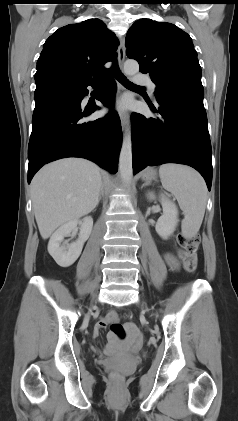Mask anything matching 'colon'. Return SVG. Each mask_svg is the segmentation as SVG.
Returning <instances> with one entry per match:
<instances>
[{
	"instance_id": "obj_1",
	"label": "colon",
	"mask_w": 238,
	"mask_h": 421,
	"mask_svg": "<svg viewBox=\"0 0 238 421\" xmlns=\"http://www.w3.org/2000/svg\"><path fill=\"white\" fill-rule=\"evenodd\" d=\"M179 243L182 247L179 252V257L183 263L185 270L188 272H194L197 268V255L196 252L200 245V238L198 235H179ZM110 330L112 335L119 339L123 340L126 337V329L120 323L117 314H113L109 319ZM111 382L114 386L118 387L123 382V376L118 372H112L110 375Z\"/></svg>"
}]
</instances>
